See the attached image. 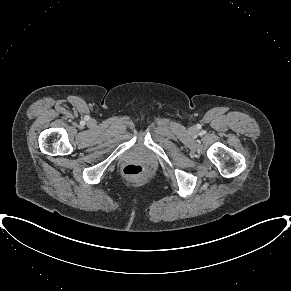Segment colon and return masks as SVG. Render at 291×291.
<instances>
[{
  "label": "colon",
  "mask_w": 291,
  "mask_h": 291,
  "mask_svg": "<svg viewBox=\"0 0 291 291\" xmlns=\"http://www.w3.org/2000/svg\"><path fill=\"white\" fill-rule=\"evenodd\" d=\"M123 173L130 178H139L144 175L145 168L141 165L129 164L123 168Z\"/></svg>",
  "instance_id": "obj_1"
}]
</instances>
